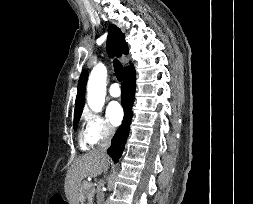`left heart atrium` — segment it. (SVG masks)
Here are the masks:
<instances>
[{
	"label": "left heart atrium",
	"instance_id": "obj_1",
	"mask_svg": "<svg viewBox=\"0 0 253 204\" xmlns=\"http://www.w3.org/2000/svg\"><path fill=\"white\" fill-rule=\"evenodd\" d=\"M107 115H108L110 122L114 126H117L121 123L124 113H123V109L121 108V106L117 102H112L107 107Z\"/></svg>",
	"mask_w": 253,
	"mask_h": 204
}]
</instances>
